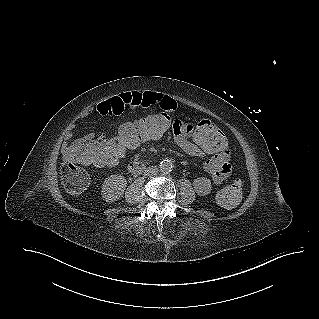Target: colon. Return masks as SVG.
<instances>
[{
	"label": "colon",
	"mask_w": 319,
	"mask_h": 319,
	"mask_svg": "<svg viewBox=\"0 0 319 319\" xmlns=\"http://www.w3.org/2000/svg\"><path fill=\"white\" fill-rule=\"evenodd\" d=\"M167 124L164 115L150 113L137 115L136 120L120 128L113 138L98 139L94 133H87L64 150L66 163L61 170V180L65 190L71 195H80L88 188L90 176L81 164L114 167L125 154L160 140L166 134ZM189 137L199 148L214 154L223 152L229 142L227 133L209 119L193 122ZM241 198L240 180L226 185L217 194V202L224 208H234Z\"/></svg>",
	"instance_id": "obj_1"
}]
</instances>
